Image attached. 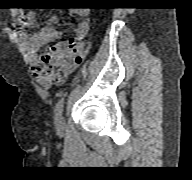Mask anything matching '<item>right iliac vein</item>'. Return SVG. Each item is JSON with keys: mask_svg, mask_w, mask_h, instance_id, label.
<instances>
[{"mask_svg": "<svg viewBox=\"0 0 192 180\" xmlns=\"http://www.w3.org/2000/svg\"><path fill=\"white\" fill-rule=\"evenodd\" d=\"M56 129L58 132H62L64 130V118L62 114H60L56 119Z\"/></svg>", "mask_w": 192, "mask_h": 180, "instance_id": "1", "label": "right iliac vein"}]
</instances>
